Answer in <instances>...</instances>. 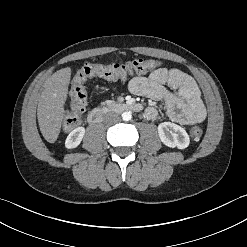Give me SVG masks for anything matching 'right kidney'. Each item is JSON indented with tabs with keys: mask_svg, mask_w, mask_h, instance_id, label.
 I'll return each mask as SVG.
<instances>
[{
	"mask_svg": "<svg viewBox=\"0 0 247 247\" xmlns=\"http://www.w3.org/2000/svg\"><path fill=\"white\" fill-rule=\"evenodd\" d=\"M85 134L84 127H78L74 129L70 134L67 136L65 141V146L68 149L76 148L82 141Z\"/></svg>",
	"mask_w": 247,
	"mask_h": 247,
	"instance_id": "right-kidney-1",
	"label": "right kidney"
}]
</instances>
